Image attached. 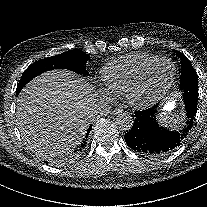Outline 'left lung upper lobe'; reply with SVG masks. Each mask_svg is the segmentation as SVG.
Returning <instances> with one entry per match:
<instances>
[{
    "instance_id": "obj_1",
    "label": "left lung upper lobe",
    "mask_w": 207,
    "mask_h": 207,
    "mask_svg": "<svg viewBox=\"0 0 207 207\" xmlns=\"http://www.w3.org/2000/svg\"><path fill=\"white\" fill-rule=\"evenodd\" d=\"M181 59V80L180 90L184 92V101L195 99L198 101V78L195 69L186 56L179 51H175Z\"/></svg>"
}]
</instances>
